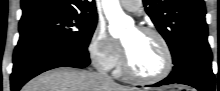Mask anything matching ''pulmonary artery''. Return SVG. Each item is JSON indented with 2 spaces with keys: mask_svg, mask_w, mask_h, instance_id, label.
I'll return each instance as SVG.
<instances>
[{
  "mask_svg": "<svg viewBox=\"0 0 220 91\" xmlns=\"http://www.w3.org/2000/svg\"><path fill=\"white\" fill-rule=\"evenodd\" d=\"M121 6L131 12H136L141 7V1L139 0H122L120 1Z\"/></svg>",
  "mask_w": 220,
  "mask_h": 91,
  "instance_id": "obj_1",
  "label": "pulmonary artery"
}]
</instances>
